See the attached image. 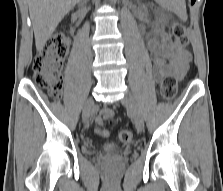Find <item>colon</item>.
I'll return each mask as SVG.
<instances>
[{"instance_id":"colon-1","label":"colon","mask_w":223,"mask_h":191,"mask_svg":"<svg viewBox=\"0 0 223 191\" xmlns=\"http://www.w3.org/2000/svg\"><path fill=\"white\" fill-rule=\"evenodd\" d=\"M172 34L181 47L188 44L186 28L181 23L172 25ZM68 52V43L63 36H58L49 41L43 50L34 58L33 82L45 90L51 97L58 98L62 93L63 83L61 70ZM177 92V78L173 75L165 77L161 85V94L166 101H171ZM106 136L105 131H99ZM119 140L124 144H129L133 140L130 130L124 129L119 132Z\"/></svg>"}]
</instances>
